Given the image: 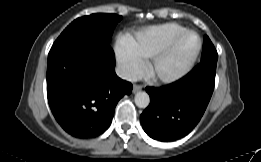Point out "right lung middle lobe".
Returning <instances> with one entry per match:
<instances>
[{
    "mask_svg": "<svg viewBox=\"0 0 261 162\" xmlns=\"http://www.w3.org/2000/svg\"><path fill=\"white\" fill-rule=\"evenodd\" d=\"M122 16L116 14L97 13L74 20L57 38L54 44L80 39H100L106 42Z\"/></svg>",
    "mask_w": 261,
    "mask_h": 162,
    "instance_id": "obj_1",
    "label": "right lung middle lobe"
}]
</instances>
